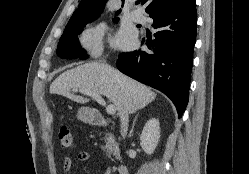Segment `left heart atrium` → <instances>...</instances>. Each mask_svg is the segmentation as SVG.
<instances>
[{
	"instance_id": "1",
	"label": "left heart atrium",
	"mask_w": 249,
	"mask_h": 174,
	"mask_svg": "<svg viewBox=\"0 0 249 174\" xmlns=\"http://www.w3.org/2000/svg\"><path fill=\"white\" fill-rule=\"evenodd\" d=\"M119 43L124 46H129L131 44V38L127 35H122L119 39Z\"/></svg>"
}]
</instances>
